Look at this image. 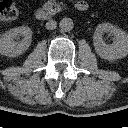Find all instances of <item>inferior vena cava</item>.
Wrapping results in <instances>:
<instances>
[{
	"label": "inferior vena cava",
	"instance_id": "obj_1",
	"mask_svg": "<svg viewBox=\"0 0 128 128\" xmlns=\"http://www.w3.org/2000/svg\"><path fill=\"white\" fill-rule=\"evenodd\" d=\"M56 26H57V23H56V21H54V20H49V21L46 23V29H48V30H53V29L56 28Z\"/></svg>",
	"mask_w": 128,
	"mask_h": 128
}]
</instances>
